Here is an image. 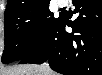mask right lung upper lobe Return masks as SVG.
Wrapping results in <instances>:
<instances>
[{
    "label": "right lung upper lobe",
    "mask_w": 102,
    "mask_h": 75,
    "mask_svg": "<svg viewBox=\"0 0 102 75\" xmlns=\"http://www.w3.org/2000/svg\"><path fill=\"white\" fill-rule=\"evenodd\" d=\"M49 2L50 0H8L5 16L16 12L34 10Z\"/></svg>",
    "instance_id": "1"
}]
</instances>
